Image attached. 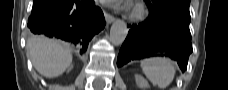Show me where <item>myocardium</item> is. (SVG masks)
<instances>
[{
  "mask_svg": "<svg viewBox=\"0 0 228 90\" xmlns=\"http://www.w3.org/2000/svg\"><path fill=\"white\" fill-rule=\"evenodd\" d=\"M145 15V10L142 6L136 5L131 12V19L138 21L143 19Z\"/></svg>",
  "mask_w": 228,
  "mask_h": 90,
  "instance_id": "obj_1",
  "label": "myocardium"
}]
</instances>
